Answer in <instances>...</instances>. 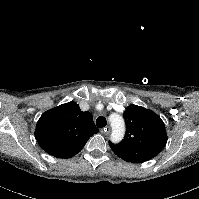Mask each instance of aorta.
I'll return each mask as SVG.
<instances>
[{
    "mask_svg": "<svg viewBox=\"0 0 199 199\" xmlns=\"http://www.w3.org/2000/svg\"><path fill=\"white\" fill-rule=\"evenodd\" d=\"M109 121L112 127V133H111V141L114 143L120 142L125 134V123L119 114H111L109 116Z\"/></svg>",
    "mask_w": 199,
    "mask_h": 199,
    "instance_id": "762f6f07",
    "label": "aorta"
}]
</instances>
